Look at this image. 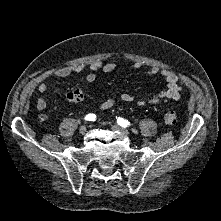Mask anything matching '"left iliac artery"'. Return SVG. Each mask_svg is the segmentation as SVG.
Instances as JSON below:
<instances>
[{
  "instance_id": "left-iliac-artery-1",
  "label": "left iliac artery",
  "mask_w": 221,
  "mask_h": 221,
  "mask_svg": "<svg viewBox=\"0 0 221 221\" xmlns=\"http://www.w3.org/2000/svg\"><path fill=\"white\" fill-rule=\"evenodd\" d=\"M117 123L124 128L129 125V122L121 117L117 119Z\"/></svg>"
}]
</instances>
